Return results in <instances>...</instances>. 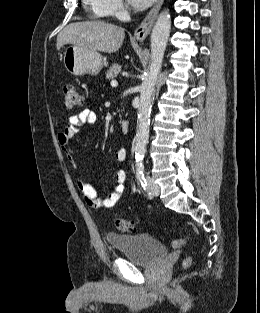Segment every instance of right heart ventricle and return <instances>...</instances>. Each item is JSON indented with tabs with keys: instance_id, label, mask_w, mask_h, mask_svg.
I'll list each match as a JSON object with an SVG mask.
<instances>
[{
	"instance_id": "obj_1",
	"label": "right heart ventricle",
	"mask_w": 260,
	"mask_h": 313,
	"mask_svg": "<svg viewBox=\"0 0 260 313\" xmlns=\"http://www.w3.org/2000/svg\"><path fill=\"white\" fill-rule=\"evenodd\" d=\"M86 8L97 18H105L109 15L106 0H84Z\"/></svg>"
}]
</instances>
